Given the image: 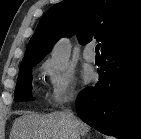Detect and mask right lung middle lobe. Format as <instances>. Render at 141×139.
<instances>
[{
	"mask_svg": "<svg viewBox=\"0 0 141 139\" xmlns=\"http://www.w3.org/2000/svg\"><path fill=\"white\" fill-rule=\"evenodd\" d=\"M32 66L20 68V73L17 79V85L15 90V101H30L33 100L31 94V81H32Z\"/></svg>",
	"mask_w": 141,
	"mask_h": 139,
	"instance_id": "1",
	"label": "right lung middle lobe"
}]
</instances>
